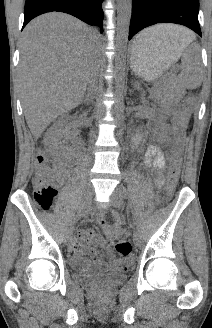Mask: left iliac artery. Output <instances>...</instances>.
Wrapping results in <instances>:
<instances>
[{"label": "left iliac artery", "mask_w": 212, "mask_h": 328, "mask_svg": "<svg viewBox=\"0 0 212 328\" xmlns=\"http://www.w3.org/2000/svg\"><path fill=\"white\" fill-rule=\"evenodd\" d=\"M121 193L124 198H128V193L124 186H121ZM133 214H134L135 225L137 226V229H139L140 224H139L138 218L134 212H133Z\"/></svg>", "instance_id": "1"}]
</instances>
